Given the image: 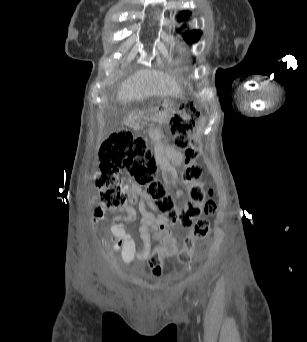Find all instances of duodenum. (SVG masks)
I'll use <instances>...</instances> for the list:
<instances>
[{
	"label": "duodenum",
	"mask_w": 307,
	"mask_h": 342,
	"mask_svg": "<svg viewBox=\"0 0 307 342\" xmlns=\"http://www.w3.org/2000/svg\"><path fill=\"white\" fill-rule=\"evenodd\" d=\"M122 123L124 128H131L132 126V118L131 117H123Z\"/></svg>",
	"instance_id": "duodenum-1"
}]
</instances>
